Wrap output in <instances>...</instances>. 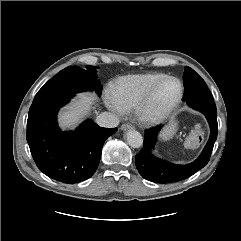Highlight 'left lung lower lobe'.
I'll use <instances>...</instances> for the list:
<instances>
[{
    "mask_svg": "<svg viewBox=\"0 0 241 241\" xmlns=\"http://www.w3.org/2000/svg\"><path fill=\"white\" fill-rule=\"evenodd\" d=\"M195 110L202 112L210 125V138L201 155L187 165H176L158 159L151 154L157 134L161 127L145 131L142 150L136 155V167L140 175L146 180L156 183H172L184 180L203 168L209 161L214 143L217 139V109L214 101L204 100L188 104Z\"/></svg>",
    "mask_w": 241,
    "mask_h": 241,
    "instance_id": "0a47b994",
    "label": "left lung lower lobe"
}]
</instances>
